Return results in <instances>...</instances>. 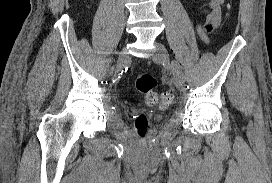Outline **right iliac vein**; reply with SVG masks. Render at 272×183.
<instances>
[{
    "label": "right iliac vein",
    "instance_id": "obj_1",
    "mask_svg": "<svg viewBox=\"0 0 272 183\" xmlns=\"http://www.w3.org/2000/svg\"><path fill=\"white\" fill-rule=\"evenodd\" d=\"M129 60V56L127 53V50L124 48L122 49V51L119 54L118 57V61H117V66H116V70H115V74L119 73V71L125 67V65L127 64ZM110 74H113V71L110 72Z\"/></svg>",
    "mask_w": 272,
    "mask_h": 183
}]
</instances>
